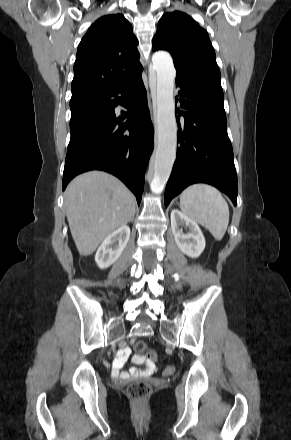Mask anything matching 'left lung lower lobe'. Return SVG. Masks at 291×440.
<instances>
[{
	"instance_id": "1",
	"label": "left lung lower lobe",
	"mask_w": 291,
	"mask_h": 440,
	"mask_svg": "<svg viewBox=\"0 0 291 440\" xmlns=\"http://www.w3.org/2000/svg\"><path fill=\"white\" fill-rule=\"evenodd\" d=\"M180 87L177 158L165 190V207L193 183H208L237 204V175L232 145L227 134L221 94L176 81ZM178 98L176 97V103ZM180 116L184 126L180 127Z\"/></svg>"
}]
</instances>
